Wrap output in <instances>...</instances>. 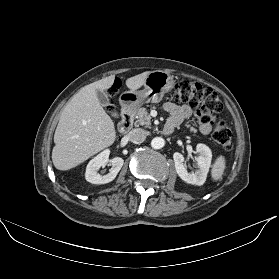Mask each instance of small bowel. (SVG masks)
<instances>
[{
  "mask_svg": "<svg viewBox=\"0 0 279 279\" xmlns=\"http://www.w3.org/2000/svg\"><path fill=\"white\" fill-rule=\"evenodd\" d=\"M163 108L170 115L165 127H171L172 129L179 125L184 119L192 116V109L188 105H176L174 103L167 102L164 104ZM211 128L210 122L200 121L199 130L202 134H209Z\"/></svg>",
  "mask_w": 279,
  "mask_h": 279,
  "instance_id": "1",
  "label": "small bowel"
}]
</instances>
